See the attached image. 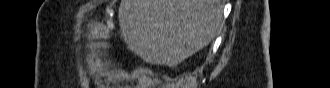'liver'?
<instances>
[{"label":"liver","mask_w":330,"mask_h":88,"mask_svg":"<svg viewBox=\"0 0 330 88\" xmlns=\"http://www.w3.org/2000/svg\"><path fill=\"white\" fill-rule=\"evenodd\" d=\"M222 11L221 0H122L120 33L145 62L174 67L215 38Z\"/></svg>","instance_id":"liver-1"}]
</instances>
